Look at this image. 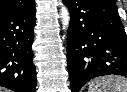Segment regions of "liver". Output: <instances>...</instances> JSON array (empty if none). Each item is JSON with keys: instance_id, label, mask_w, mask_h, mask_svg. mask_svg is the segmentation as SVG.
<instances>
[{"instance_id": "1", "label": "liver", "mask_w": 127, "mask_h": 92, "mask_svg": "<svg viewBox=\"0 0 127 92\" xmlns=\"http://www.w3.org/2000/svg\"><path fill=\"white\" fill-rule=\"evenodd\" d=\"M0 92H8V91H6V90L5 91H2V89L0 88Z\"/></svg>"}]
</instances>
